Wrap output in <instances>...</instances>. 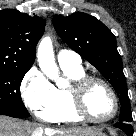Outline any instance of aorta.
I'll return each instance as SVG.
<instances>
[{
  "instance_id": "1",
  "label": "aorta",
  "mask_w": 136,
  "mask_h": 136,
  "mask_svg": "<svg viewBox=\"0 0 136 136\" xmlns=\"http://www.w3.org/2000/svg\"><path fill=\"white\" fill-rule=\"evenodd\" d=\"M37 59L41 71L58 87H63L64 82L59 77V69L55 62L52 40L50 37L41 39L37 49Z\"/></svg>"
}]
</instances>
